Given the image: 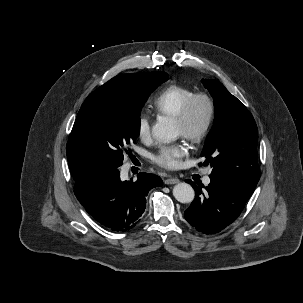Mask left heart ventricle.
I'll use <instances>...</instances> for the list:
<instances>
[{"mask_svg": "<svg viewBox=\"0 0 303 303\" xmlns=\"http://www.w3.org/2000/svg\"><path fill=\"white\" fill-rule=\"evenodd\" d=\"M206 114V105L203 101H199L197 102V104L194 107V111H193V117H192V124L193 127H198ZM176 131L178 133V135H182L183 134V129L181 127V125L176 122Z\"/></svg>", "mask_w": 303, "mask_h": 303, "instance_id": "1", "label": "left heart ventricle"}]
</instances>
